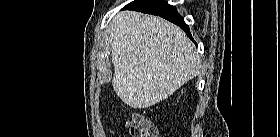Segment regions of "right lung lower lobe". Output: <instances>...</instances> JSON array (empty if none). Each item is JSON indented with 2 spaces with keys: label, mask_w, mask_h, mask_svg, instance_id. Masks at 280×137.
<instances>
[{
  "label": "right lung lower lobe",
  "mask_w": 280,
  "mask_h": 137,
  "mask_svg": "<svg viewBox=\"0 0 280 137\" xmlns=\"http://www.w3.org/2000/svg\"><path fill=\"white\" fill-rule=\"evenodd\" d=\"M124 9L160 16L178 25L192 39L189 27L184 22V19L178 14L176 8L169 5L165 0H135L126 5Z\"/></svg>",
  "instance_id": "obj_1"
}]
</instances>
